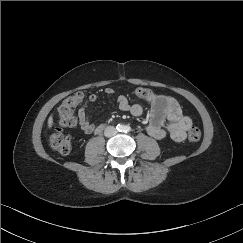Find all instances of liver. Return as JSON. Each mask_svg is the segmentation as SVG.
<instances>
[{
  "label": "liver",
  "mask_w": 243,
  "mask_h": 243,
  "mask_svg": "<svg viewBox=\"0 0 243 243\" xmlns=\"http://www.w3.org/2000/svg\"><path fill=\"white\" fill-rule=\"evenodd\" d=\"M54 122H53V114L50 115V117L48 118V128L51 129L53 126Z\"/></svg>",
  "instance_id": "1"
}]
</instances>
